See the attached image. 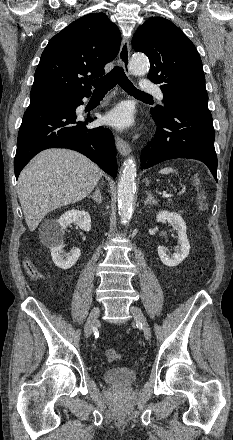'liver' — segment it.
Instances as JSON below:
<instances>
[{"mask_svg": "<svg viewBox=\"0 0 233 440\" xmlns=\"http://www.w3.org/2000/svg\"><path fill=\"white\" fill-rule=\"evenodd\" d=\"M101 169L69 149H47L21 172L17 192L25 221L33 232L51 211L76 203L91 193Z\"/></svg>", "mask_w": 233, "mask_h": 440, "instance_id": "1", "label": "liver"}]
</instances>
